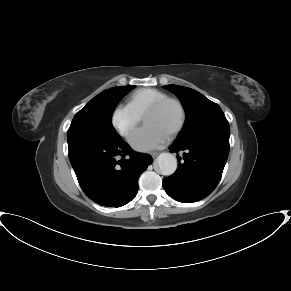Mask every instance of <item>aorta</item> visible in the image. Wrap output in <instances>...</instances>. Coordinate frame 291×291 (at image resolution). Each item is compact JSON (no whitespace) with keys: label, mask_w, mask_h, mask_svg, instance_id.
<instances>
[{"label":"aorta","mask_w":291,"mask_h":291,"mask_svg":"<svg viewBox=\"0 0 291 291\" xmlns=\"http://www.w3.org/2000/svg\"><path fill=\"white\" fill-rule=\"evenodd\" d=\"M157 164L164 176L172 175L177 169V159L171 153H161L157 157Z\"/></svg>","instance_id":"obj_1"}]
</instances>
